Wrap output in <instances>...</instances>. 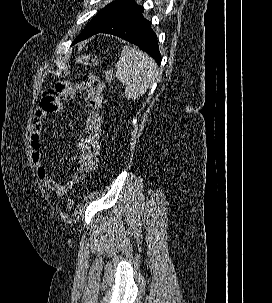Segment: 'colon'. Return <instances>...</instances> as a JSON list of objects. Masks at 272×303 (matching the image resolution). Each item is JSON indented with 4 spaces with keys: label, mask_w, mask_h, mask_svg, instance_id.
Returning a JSON list of instances; mask_svg holds the SVG:
<instances>
[{
    "label": "colon",
    "mask_w": 272,
    "mask_h": 303,
    "mask_svg": "<svg viewBox=\"0 0 272 303\" xmlns=\"http://www.w3.org/2000/svg\"><path fill=\"white\" fill-rule=\"evenodd\" d=\"M78 62L82 63L87 66H95L97 65V58L94 55L86 54L78 57ZM114 78V74L112 70H106L105 71V79L107 82H112ZM68 210H71L74 207V202L73 200H68L67 205H66Z\"/></svg>",
    "instance_id": "5ec220e1"
}]
</instances>
